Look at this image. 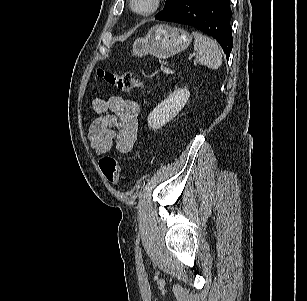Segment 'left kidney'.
I'll use <instances>...</instances> for the list:
<instances>
[{
    "label": "left kidney",
    "instance_id": "5707ae66",
    "mask_svg": "<svg viewBox=\"0 0 307 301\" xmlns=\"http://www.w3.org/2000/svg\"><path fill=\"white\" fill-rule=\"evenodd\" d=\"M190 97L186 88L175 89L164 101L158 104L148 116V126L159 129L172 120L185 106Z\"/></svg>",
    "mask_w": 307,
    "mask_h": 301
}]
</instances>
